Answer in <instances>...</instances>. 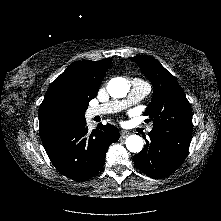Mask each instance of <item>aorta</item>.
I'll return each instance as SVG.
<instances>
[{"label":"aorta","mask_w":221,"mask_h":221,"mask_svg":"<svg viewBox=\"0 0 221 221\" xmlns=\"http://www.w3.org/2000/svg\"><path fill=\"white\" fill-rule=\"evenodd\" d=\"M129 84L125 78L117 77L109 81L107 91L111 97L122 98L127 95ZM126 147L130 152L138 153L143 149V139L138 135H130L126 139Z\"/></svg>","instance_id":"762f6f07"}]
</instances>
